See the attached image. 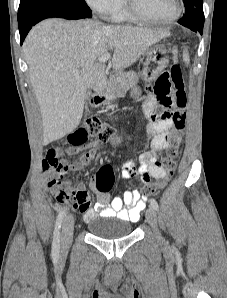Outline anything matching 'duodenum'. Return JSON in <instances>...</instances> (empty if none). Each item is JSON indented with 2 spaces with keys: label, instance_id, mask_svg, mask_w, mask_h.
<instances>
[{
  "label": "duodenum",
  "instance_id": "1",
  "mask_svg": "<svg viewBox=\"0 0 227 298\" xmlns=\"http://www.w3.org/2000/svg\"><path fill=\"white\" fill-rule=\"evenodd\" d=\"M105 99H106V96L104 93L96 92L92 96V103L97 106V105L102 104Z\"/></svg>",
  "mask_w": 227,
  "mask_h": 298
}]
</instances>
